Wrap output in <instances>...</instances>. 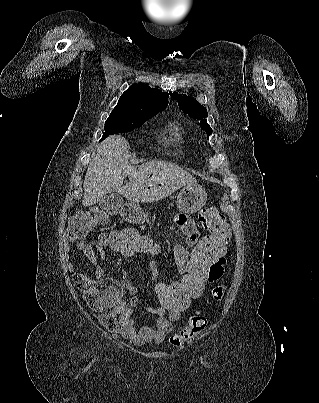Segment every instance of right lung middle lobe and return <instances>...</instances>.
Returning <instances> with one entry per match:
<instances>
[{
  "label": "right lung middle lobe",
  "mask_w": 319,
  "mask_h": 403,
  "mask_svg": "<svg viewBox=\"0 0 319 403\" xmlns=\"http://www.w3.org/2000/svg\"><path fill=\"white\" fill-rule=\"evenodd\" d=\"M150 118L151 117L133 118L122 113L112 111L105 122V132L103 133L102 140L109 135L132 131L135 128L141 126L146 120Z\"/></svg>",
  "instance_id": "obj_1"
}]
</instances>
